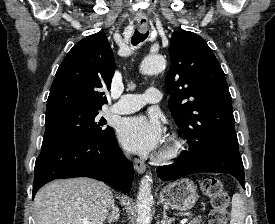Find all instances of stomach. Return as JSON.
<instances>
[{
  "instance_id": "0dacf381",
  "label": "stomach",
  "mask_w": 275,
  "mask_h": 224,
  "mask_svg": "<svg viewBox=\"0 0 275 224\" xmlns=\"http://www.w3.org/2000/svg\"><path fill=\"white\" fill-rule=\"evenodd\" d=\"M159 197L164 206L179 211H188L195 205L199 196L194 182L183 178L169 183L162 189Z\"/></svg>"
}]
</instances>
